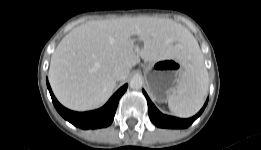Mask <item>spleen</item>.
Listing matches in <instances>:
<instances>
[{"mask_svg": "<svg viewBox=\"0 0 261 150\" xmlns=\"http://www.w3.org/2000/svg\"><path fill=\"white\" fill-rule=\"evenodd\" d=\"M188 63L175 93L168 97L169 109L180 118L195 115L208 91V72L198 45L188 48Z\"/></svg>", "mask_w": 261, "mask_h": 150, "instance_id": "obj_1", "label": "spleen"}]
</instances>
